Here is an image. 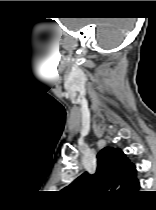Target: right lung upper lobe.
I'll return each instance as SVG.
<instances>
[{
	"label": "right lung upper lobe",
	"mask_w": 156,
	"mask_h": 210,
	"mask_svg": "<svg viewBox=\"0 0 156 210\" xmlns=\"http://www.w3.org/2000/svg\"><path fill=\"white\" fill-rule=\"evenodd\" d=\"M97 158L96 173L90 175L85 172L70 184L72 189L116 193L122 198H128L138 191L140 184L135 165L121 149L105 147Z\"/></svg>",
	"instance_id": "1"
}]
</instances>
